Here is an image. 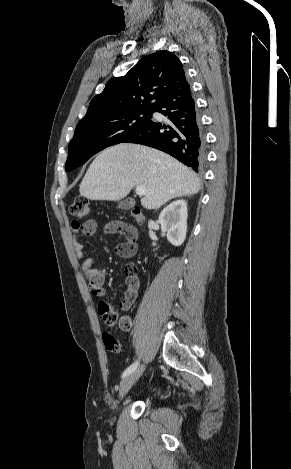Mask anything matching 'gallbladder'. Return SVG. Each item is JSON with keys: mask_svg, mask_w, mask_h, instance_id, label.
Listing matches in <instances>:
<instances>
[{"mask_svg": "<svg viewBox=\"0 0 291 469\" xmlns=\"http://www.w3.org/2000/svg\"><path fill=\"white\" fill-rule=\"evenodd\" d=\"M133 206H134V202L128 201V200H122L118 203V208L123 209V210L131 209Z\"/></svg>", "mask_w": 291, "mask_h": 469, "instance_id": "obj_1", "label": "gallbladder"}]
</instances>
